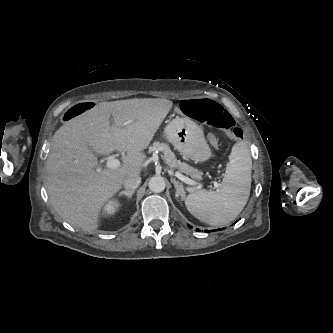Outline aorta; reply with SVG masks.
<instances>
[{
	"mask_svg": "<svg viewBox=\"0 0 333 333\" xmlns=\"http://www.w3.org/2000/svg\"><path fill=\"white\" fill-rule=\"evenodd\" d=\"M166 187V183L163 177L161 176H153L149 181V189L152 192L160 193Z\"/></svg>",
	"mask_w": 333,
	"mask_h": 333,
	"instance_id": "aorta-1",
	"label": "aorta"
}]
</instances>
